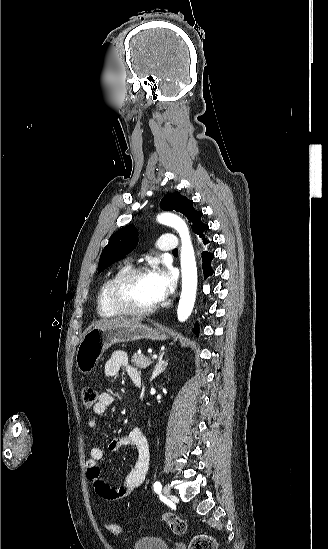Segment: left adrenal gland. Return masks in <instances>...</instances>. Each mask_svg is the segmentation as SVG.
<instances>
[{"instance_id": "1", "label": "left adrenal gland", "mask_w": 328, "mask_h": 549, "mask_svg": "<svg viewBox=\"0 0 328 549\" xmlns=\"http://www.w3.org/2000/svg\"><path fill=\"white\" fill-rule=\"evenodd\" d=\"M165 353L163 351V353H161L160 357H159V363H157L156 367H155V371H153V375H159V373H163V371H165L167 365H168V361H163V357H164ZM152 375V377H153Z\"/></svg>"}]
</instances>
